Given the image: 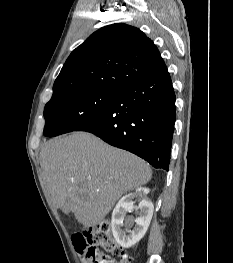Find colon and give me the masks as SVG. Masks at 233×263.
Segmentation results:
<instances>
[{"mask_svg":"<svg viewBox=\"0 0 233 263\" xmlns=\"http://www.w3.org/2000/svg\"><path fill=\"white\" fill-rule=\"evenodd\" d=\"M73 244L82 256L84 263H107L110 255L121 258L120 263H132L111 234L110 224L106 221L72 235Z\"/></svg>","mask_w":233,"mask_h":263,"instance_id":"colon-1","label":"colon"}]
</instances>
